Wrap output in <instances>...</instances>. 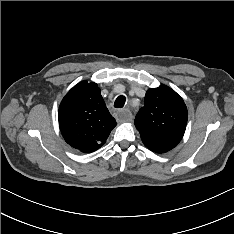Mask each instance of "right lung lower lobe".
<instances>
[{
  "instance_id": "1",
  "label": "right lung lower lobe",
  "mask_w": 234,
  "mask_h": 234,
  "mask_svg": "<svg viewBox=\"0 0 234 234\" xmlns=\"http://www.w3.org/2000/svg\"><path fill=\"white\" fill-rule=\"evenodd\" d=\"M93 151H95V150H92V151H88V152H85V153H90V152H93Z\"/></svg>"
}]
</instances>
